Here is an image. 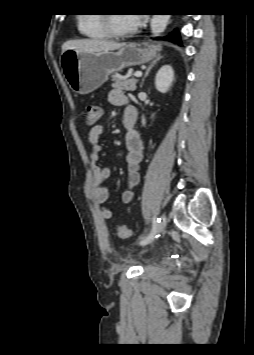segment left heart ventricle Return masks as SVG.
I'll use <instances>...</instances> for the list:
<instances>
[{"label":"left heart ventricle","instance_id":"obj_1","mask_svg":"<svg viewBox=\"0 0 254 355\" xmlns=\"http://www.w3.org/2000/svg\"><path fill=\"white\" fill-rule=\"evenodd\" d=\"M112 24L113 27L119 31L129 30L135 27L131 17L121 13L112 14Z\"/></svg>","mask_w":254,"mask_h":355}]
</instances>
